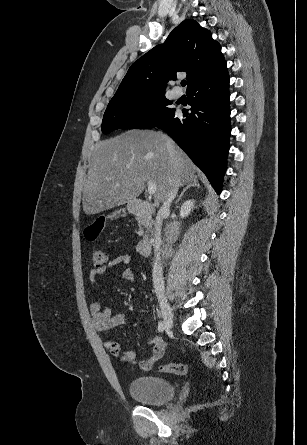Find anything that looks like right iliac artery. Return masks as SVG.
<instances>
[{"label":"right iliac artery","instance_id":"1","mask_svg":"<svg viewBox=\"0 0 307 445\" xmlns=\"http://www.w3.org/2000/svg\"><path fill=\"white\" fill-rule=\"evenodd\" d=\"M164 330V323L163 322H159L158 323V331L162 332Z\"/></svg>","mask_w":307,"mask_h":445}]
</instances>
